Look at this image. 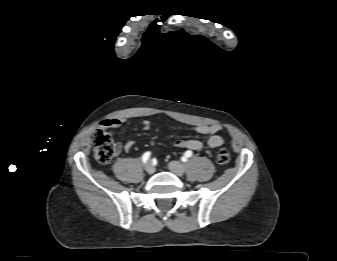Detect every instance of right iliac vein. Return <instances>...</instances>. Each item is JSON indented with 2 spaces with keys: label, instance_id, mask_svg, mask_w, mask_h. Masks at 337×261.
<instances>
[{
  "label": "right iliac vein",
  "instance_id": "right-iliac-vein-1",
  "mask_svg": "<svg viewBox=\"0 0 337 261\" xmlns=\"http://www.w3.org/2000/svg\"><path fill=\"white\" fill-rule=\"evenodd\" d=\"M145 170L147 171L148 174H153L155 171V168L153 164L149 162L148 164H146Z\"/></svg>",
  "mask_w": 337,
  "mask_h": 261
}]
</instances>
